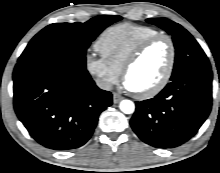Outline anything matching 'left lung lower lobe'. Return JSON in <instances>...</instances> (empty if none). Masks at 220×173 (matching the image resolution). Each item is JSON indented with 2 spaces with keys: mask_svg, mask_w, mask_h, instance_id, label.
Here are the masks:
<instances>
[{
  "mask_svg": "<svg viewBox=\"0 0 220 173\" xmlns=\"http://www.w3.org/2000/svg\"><path fill=\"white\" fill-rule=\"evenodd\" d=\"M211 105V69L184 73L171 80L155 98L136 102L130 124L145 143L174 148L197 133Z\"/></svg>",
  "mask_w": 220,
  "mask_h": 173,
  "instance_id": "1",
  "label": "left lung lower lobe"
}]
</instances>
